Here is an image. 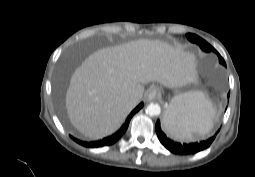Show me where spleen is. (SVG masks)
Here are the masks:
<instances>
[{
    "label": "spleen",
    "mask_w": 255,
    "mask_h": 177,
    "mask_svg": "<svg viewBox=\"0 0 255 177\" xmlns=\"http://www.w3.org/2000/svg\"><path fill=\"white\" fill-rule=\"evenodd\" d=\"M164 119V129L172 138L190 141L194 133L207 134L213 128L215 110L204 93L195 91L174 97Z\"/></svg>",
    "instance_id": "3e777b00"
}]
</instances>
